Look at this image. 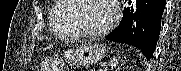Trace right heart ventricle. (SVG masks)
Instances as JSON below:
<instances>
[{"label":"right heart ventricle","instance_id":"right-heart-ventricle-1","mask_svg":"<svg viewBox=\"0 0 181 71\" xmlns=\"http://www.w3.org/2000/svg\"><path fill=\"white\" fill-rule=\"evenodd\" d=\"M71 3L68 0H57L50 12L51 31L62 38H78L79 35L71 23Z\"/></svg>","mask_w":181,"mask_h":71}]
</instances>
